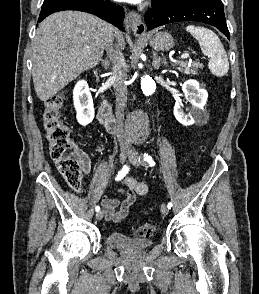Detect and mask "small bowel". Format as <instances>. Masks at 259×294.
Wrapping results in <instances>:
<instances>
[{"mask_svg": "<svg viewBox=\"0 0 259 294\" xmlns=\"http://www.w3.org/2000/svg\"><path fill=\"white\" fill-rule=\"evenodd\" d=\"M83 171H90V159L83 153H79ZM125 189L122 190L120 197L105 198L102 200V206L105 209L106 219L119 223L123 221L129 213L131 206L136 201L137 196H145L148 193V186L133 177H126L122 180Z\"/></svg>", "mask_w": 259, "mask_h": 294, "instance_id": "small-bowel-1", "label": "small bowel"}]
</instances>
